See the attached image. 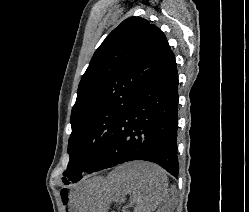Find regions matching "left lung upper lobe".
I'll use <instances>...</instances> for the list:
<instances>
[{
	"instance_id": "left-lung-upper-lobe-1",
	"label": "left lung upper lobe",
	"mask_w": 249,
	"mask_h": 212,
	"mask_svg": "<svg viewBox=\"0 0 249 212\" xmlns=\"http://www.w3.org/2000/svg\"><path fill=\"white\" fill-rule=\"evenodd\" d=\"M169 52L163 32L141 17L124 20L106 37L80 81L72 108L70 161L62 178L66 184L99 161L118 120Z\"/></svg>"
}]
</instances>
